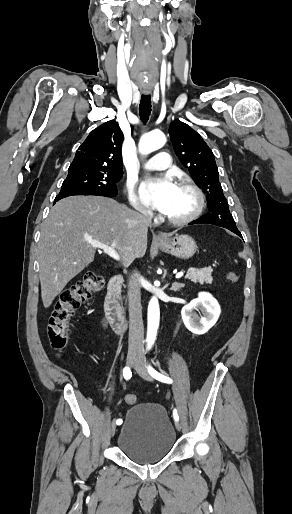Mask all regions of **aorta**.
Segmentation results:
<instances>
[{"label":"aorta","instance_id":"762f6f07","mask_svg":"<svg viewBox=\"0 0 292 514\" xmlns=\"http://www.w3.org/2000/svg\"><path fill=\"white\" fill-rule=\"evenodd\" d=\"M166 144V136H164L163 132H159V130H153V132H149V134H145L142 136L139 144V150L142 154H150V152H155V150H159ZM159 304L157 298H152L149 302L148 306V332H147V342L148 346H152L155 342L158 326H159Z\"/></svg>","mask_w":292,"mask_h":514}]
</instances>
